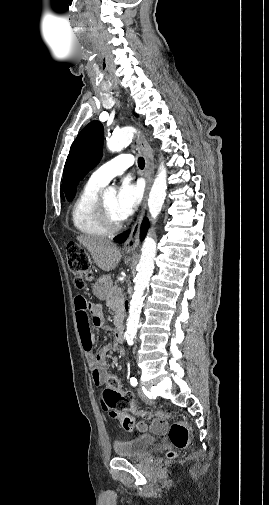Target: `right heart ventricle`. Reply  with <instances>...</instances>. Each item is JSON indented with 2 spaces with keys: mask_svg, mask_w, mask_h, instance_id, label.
<instances>
[{
  "mask_svg": "<svg viewBox=\"0 0 269 505\" xmlns=\"http://www.w3.org/2000/svg\"><path fill=\"white\" fill-rule=\"evenodd\" d=\"M101 188L102 186L88 181L73 203L71 211L73 225L80 233L87 236L103 237L108 234L97 210Z\"/></svg>",
  "mask_w": 269,
  "mask_h": 505,
  "instance_id": "right-heart-ventricle-1",
  "label": "right heart ventricle"
}]
</instances>
